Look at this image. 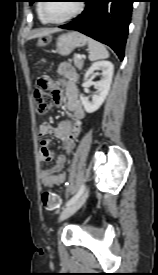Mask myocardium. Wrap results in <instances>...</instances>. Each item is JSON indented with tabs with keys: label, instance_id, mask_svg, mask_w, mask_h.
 I'll use <instances>...</instances> for the list:
<instances>
[{
	"label": "myocardium",
	"instance_id": "obj_1",
	"mask_svg": "<svg viewBox=\"0 0 158 275\" xmlns=\"http://www.w3.org/2000/svg\"><path fill=\"white\" fill-rule=\"evenodd\" d=\"M44 3L41 4V14L43 16V18L46 20L47 23H51V24H62V23H65L67 21H70L72 20L73 18L77 17L79 14H81V12L83 11L84 9V1L83 0H79L78 1V5H77V8L75 9V11L70 14L69 16L63 18V19H60V20H54V19H51L49 18L46 13H45V6H46V2L47 1H43Z\"/></svg>",
	"mask_w": 158,
	"mask_h": 275
}]
</instances>
